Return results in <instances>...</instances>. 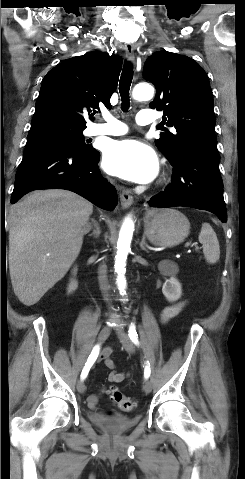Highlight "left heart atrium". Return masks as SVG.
<instances>
[{
	"instance_id": "left-heart-atrium-1",
	"label": "left heart atrium",
	"mask_w": 245,
	"mask_h": 479,
	"mask_svg": "<svg viewBox=\"0 0 245 479\" xmlns=\"http://www.w3.org/2000/svg\"><path fill=\"white\" fill-rule=\"evenodd\" d=\"M104 170L123 179L147 183L158 173V159L147 145L134 139L110 142L103 153Z\"/></svg>"
}]
</instances>
